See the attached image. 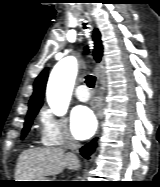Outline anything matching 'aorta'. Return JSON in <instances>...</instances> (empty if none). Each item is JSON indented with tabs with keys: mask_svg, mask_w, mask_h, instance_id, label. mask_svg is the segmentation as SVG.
<instances>
[{
	"mask_svg": "<svg viewBox=\"0 0 160 187\" xmlns=\"http://www.w3.org/2000/svg\"><path fill=\"white\" fill-rule=\"evenodd\" d=\"M77 61L74 57H66L53 68L47 84V102L56 115H63L69 106L75 79Z\"/></svg>",
	"mask_w": 160,
	"mask_h": 187,
	"instance_id": "obj_1",
	"label": "aorta"
}]
</instances>
